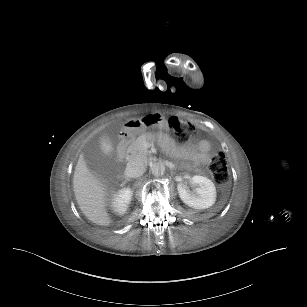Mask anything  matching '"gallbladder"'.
<instances>
[{
    "mask_svg": "<svg viewBox=\"0 0 307 307\" xmlns=\"http://www.w3.org/2000/svg\"><path fill=\"white\" fill-rule=\"evenodd\" d=\"M98 146L101 149L102 153L106 156H111L116 151V148L113 145L111 139L107 136H103L99 139Z\"/></svg>",
    "mask_w": 307,
    "mask_h": 307,
    "instance_id": "1",
    "label": "gallbladder"
}]
</instances>
